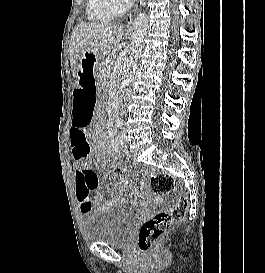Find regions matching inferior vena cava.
I'll return each mask as SVG.
<instances>
[{
  "instance_id": "1",
  "label": "inferior vena cava",
  "mask_w": 265,
  "mask_h": 273,
  "mask_svg": "<svg viewBox=\"0 0 265 273\" xmlns=\"http://www.w3.org/2000/svg\"><path fill=\"white\" fill-rule=\"evenodd\" d=\"M132 0H125L124 8L127 9L132 5Z\"/></svg>"
}]
</instances>
